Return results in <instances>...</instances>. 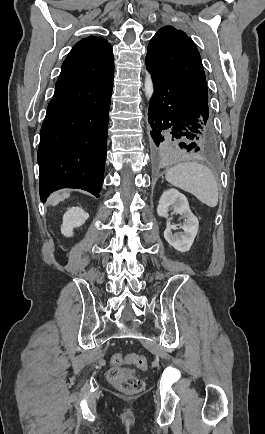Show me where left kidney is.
<instances>
[{
  "label": "left kidney",
  "mask_w": 265,
  "mask_h": 434,
  "mask_svg": "<svg viewBox=\"0 0 265 434\" xmlns=\"http://www.w3.org/2000/svg\"><path fill=\"white\" fill-rule=\"evenodd\" d=\"M170 210H173L171 216H173V214H181L186 220H184L183 226H180L183 232L172 234V230H180V228H177L175 224H171V218H168L164 238L166 242H168L170 246H173L175 250H178V252H189L198 234V220L196 216L192 214L186 196L180 194V192L174 190V188L163 192L157 208L158 216L166 218V216H169L168 212H170Z\"/></svg>",
  "instance_id": "obj_1"
}]
</instances>
